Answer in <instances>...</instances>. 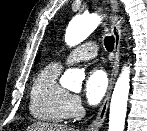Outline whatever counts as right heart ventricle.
I'll return each instance as SVG.
<instances>
[{"label": "right heart ventricle", "instance_id": "obj_1", "mask_svg": "<svg viewBox=\"0 0 147 131\" xmlns=\"http://www.w3.org/2000/svg\"><path fill=\"white\" fill-rule=\"evenodd\" d=\"M60 70L58 64L51 63L40 71L33 82L29 109L37 120L62 123L68 118L66 106L70 94L58 81Z\"/></svg>", "mask_w": 147, "mask_h": 131}]
</instances>
